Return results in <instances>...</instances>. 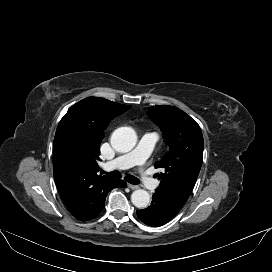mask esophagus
Listing matches in <instances>:
<instances>
[{"label": "esophagus", "mask_w": 272, "mask_h": 272, "mask_svg": "<svg viewBox=\"0 0 272 272\" xmlns=\"http://www.w3.org/2000/svg\"><path fill=\"white\" fill-rule=\"evenodd\" d=\"M127 186L130 188V189H132V190H135V189H138L139 188V186H137V185H133V184H127Z\"/></svg>", "instance_id": "34e87169"}]
</instances>
